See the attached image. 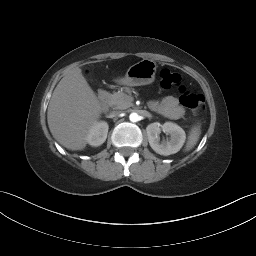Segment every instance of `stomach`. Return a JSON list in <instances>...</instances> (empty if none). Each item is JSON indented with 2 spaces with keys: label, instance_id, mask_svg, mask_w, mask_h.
<instances>
[{
  "label": "stomach",
  "instance_id": "obj_1",
  "mask_svg": "<svg viewBox=\"0 0 256 256\" xmlns=\"http://www.w3.org/2000/svg\"><path fill=\"white\" fill-rule=\"evenodd\" d=\"M156 63L150 59H143L130 66L124 77L115 82L124 86H141L151 84L155 80Z\"/></svg>",
  "mask_w": 256,
  "mask_h": 256
}]
</instances>
